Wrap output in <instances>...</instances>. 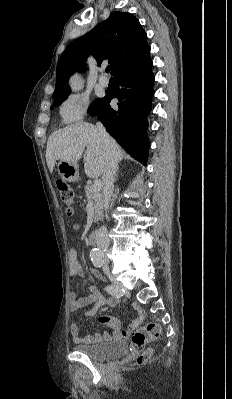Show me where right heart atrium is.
Instances as JSON below:
<instances>
[{
  "label": "right heart atrium",
  "mask_w": 232,
  "mask_h": 399,
  "mask_svg": "<svg viewBox=\"0 0 232 399\" xmlns=\"http://www.w3.org/2000/svg\"><path fill=\"white\" fill-rule=\"evenodd\" d=\"M87 112L88 106L80 104L76 97H71L59 107V116L64 125H73L74 120H83Z\"/></svg>",
  "instance_id": "1"
}]
</instances>
